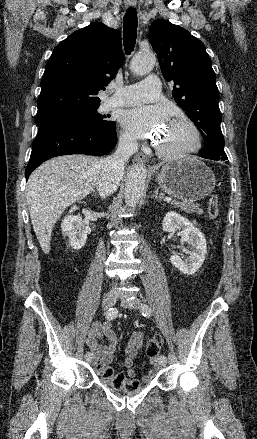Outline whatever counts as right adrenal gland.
<instances>
[{
  "mask_svg": "<svg viewBox=\"0 0 257 439\" xmlns=\"http://www.w3.org/2000/svg\"><path fill=\"white\" fill-rule=\"evenodd\" d=\"M98 195H97V193H94V197L96 198Z\"/></svg>",
  "mask_w": 257,
  "mask_h": 439,
  "instance_id": "2a0ac1e0",
  "label": "right adrenal gland"
}]
</instances>
